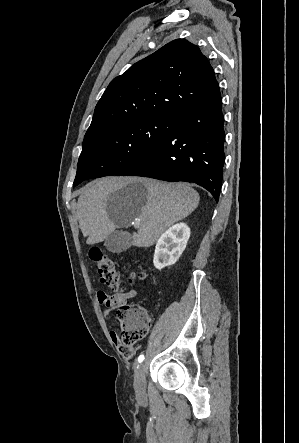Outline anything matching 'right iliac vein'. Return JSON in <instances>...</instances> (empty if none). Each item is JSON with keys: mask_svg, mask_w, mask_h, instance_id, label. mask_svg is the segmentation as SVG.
I'll return each instance as SVG.
<instances>
[{"mask_svg": "<svg viewBox=\"0 0 299 443\" xmlns=\"http://www.w3.org/2000/svg\"><path fill=\"white\" fill-rule=\"evenodd\" d=\"M145 373L146 368L145 365L142 363L137 367L136 373H135V380H134V389L136 396L139 400L145 399L146 395V389H145Z\"/></svg>", "mask_w": 299, "mask_h": 443, "instance_id": "63e3f726", "label": "right iliac vein"}]
</instances>
